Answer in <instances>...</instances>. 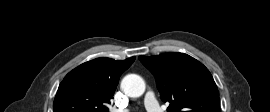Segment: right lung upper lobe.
<instances>
[{"label": "right lung upper lobe", "mask_w": 270, "mask_h": 112, "mask_svg": "<svg viewBox=\"0 0 270 112\" xmlns=\"http://www.w3.org/2000/svg\"><path fill=\"white\" fill-rule=\"evenodd\" d=\"M135 57L113 60L102 57L81 64L61 82L53 103L54 112H108L121 74Z\"/></svg>", "instance_id": "right-lung-upper-lobe-1"}]
</instances>
